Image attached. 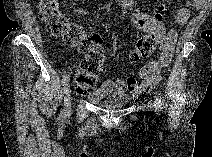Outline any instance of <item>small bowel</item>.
<instances>
[{
    "label": "small bowel",
    "instance_id": "obj_1",
    "mask_svg": "<svg viewBox=\"0 0 212 157\" xmlns=\"http://www.w3.org/2000/svg\"><path fill=\"white\" fill-rule=\"evenodd\" d=\"M200 1H186L184 5L177 11L175 21L178 25L183 26L187 23L191 8L199 6ZM119 5L122 9L130 12L132 24L139 30L144 32L157 31L165 35L166 39L161 46V54L155 61H151L143 65L138 73V80L134 76H128L124 79H107L101 87L89 94L90 102L95 103L102 97L111 94H125L130 93L133 96H138L149 88L157 85L161 80V69L166 67L173 55L174 45L177 38V31L170 29L165 31L162 23L156 18L146 13L143 6L137 5L133 0H120ZM71 13L79 15L86 19V21L96 26L90 13L83 8H74Z\"/></svg>",
    "mask_w": 212,
    "mask_h": 157
}]
</instances>
